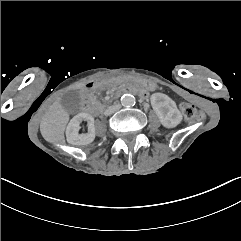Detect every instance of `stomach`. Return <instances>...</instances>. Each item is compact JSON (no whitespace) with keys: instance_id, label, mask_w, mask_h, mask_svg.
<instances>
[{"instance_id":"0dacf381","label":"stomach","mask_w":241,"mask_h":241,"mask_svg":"<svg viewBox=\"0 0 241 241\" xmlns=\"http://www.w3.org/2000/svg\"><path fill=\"white\" fill-rule=\"evenodd\" d=\"M111 82L114 85L138 84V85H141L142 87H144L148 90H155L157 88V84L153 80L138 77V76L124 74V73H121V72L115 73L111 77Z\"/></svg>"}]
</instances>
